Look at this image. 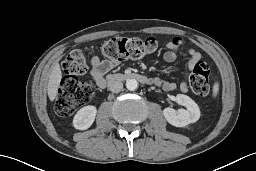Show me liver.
Returning a JSON list of instances; mask_svg holds the SVG:
<instances>
[{
  "mask_svg": "<svg viewBox=\"0 0 256 171\" xmlns=\"http://www.w3.org/2000/svg\"><path fill=\"white\" fill-rule=\"evenodd\" d=\"M62 78V72L58 63H55L49 76L48 81V97L50 101H54L57 96V90Z\"/></svg>",
  "mask_w": 256,
  "mask_h": 171,
  "instance_id": "1",
  "label": "liver"
}]
</instances>
